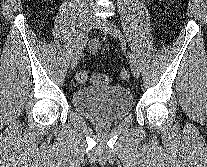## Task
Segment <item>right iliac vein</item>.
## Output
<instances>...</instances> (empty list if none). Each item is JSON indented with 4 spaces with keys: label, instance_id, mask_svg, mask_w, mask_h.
I'll return each mask as SVG.
<instances>
[{
    "label": "right iliac vein",
    "instance_id": "right-iliac-vein-1",
    "mask_svg": "<svg viewBox=\"0 0 207 167\" xmlns=\"http://www.w3.org/2000/svg\"><path fill=\"white\" fill-rule=\"evenodd\" d=\"M94 25V18L92 16V14L88 11L85 20H84V25H83V33L81 35L80 41L77 45V48L74 51L73 57H72V61H71V68L74 69L75 66L77 65L80 56L82 54V51L86 45V41L88 38V34L90 32V30L92 29Z\"/></svg>",
    "mask_w": 207,
    "mask_h": 167
}]
</instances>
